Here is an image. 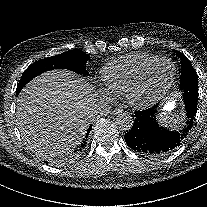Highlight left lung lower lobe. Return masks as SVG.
<instances>
[{
  "instance_id": "obj_1",
  "label": "left lung lower lobe",
  "mask_w": 207,
  "mask_h": 207,
  "mask_svg": "<svg viewBox=\"0 0 207 207\" xmlns=\"http://www.w3.org/2000/svg\"><path fill=\"white\" fill-rule=\"evenodd\" d=\"M195 99L184 101L187 114V127L180 132L169 131L156 121L158 104L152 108L136 111L135 123L125 135V141L133 150L147 155H164L180 145L193 126L197 111Z\"/></svg>"
}]
</instances>
